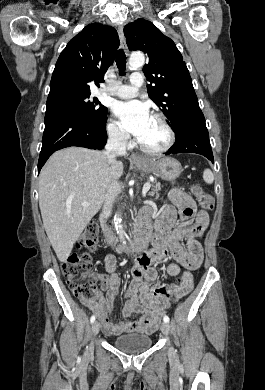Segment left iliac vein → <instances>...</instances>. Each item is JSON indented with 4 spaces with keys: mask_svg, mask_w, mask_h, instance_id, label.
Listing matches in <instances>:
<instances>
[{
    "mask_svg": "<svg viewBox=\"0 0 265 390\" xmlns=\"http://www.w3.org/2000/svg\"><path fill=\"white\" fill-rule=\"evenodd\" d=\"M161 331H162V333H163L164 335H169V333H170V326H169V324L166 323V322H163V323L161 324ZM170 351L172 352L173 349L171 348Z\"/></svg>",
    "mask_w": 265,
    "mask_h": 390,
    "instance_id": "left-iliac-vein-1",
    "label": "left iliac vein"
}]
</instances>
